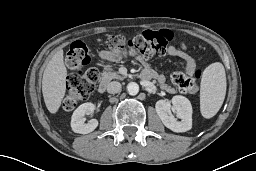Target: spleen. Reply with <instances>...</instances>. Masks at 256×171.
Returning <instances> with one entry per match:
<instances>
[{"label": "spleen", "instance_id": "spleen-1", "mask_svg": "<svg viewBox=\"0 0 256 171\" xmlns=\"http://www.w3.org/2000/svg\"><path fill=\"white\" fill-rule=\"evenodd\" d=\"M226 95V74L222 63L210 64L203 72L200 85V111L210 119L221 108Z\"/></svg>", "mask_w": 256, "mask_h": 171}]
</instances>
